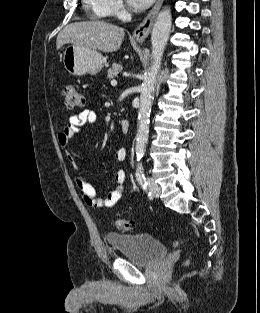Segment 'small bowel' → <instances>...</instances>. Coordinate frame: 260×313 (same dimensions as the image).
Here are the masks:
<instances>
[{"label": "small bowel", "mask_w": 260, "mask_h": 313, "mask_svg": "<svg viewBox=\"0 0 260 313\" xmlns=\"http://www.w3.org/2000/svg\"><path fill=\"white\" fill-rule=\"evenodd\" d=\"M97 123V115L91 110H83L79 113L73 114L69 117L68 124L57 135V142L62 149H66L73 136L77 133L81 126H91ZM127 151L124 148L117 149L114 158L117 162H124L126 160ZM67 160L73 170L75 171V182L81 190L85 203L96 208H108L114 206L123 196L126 191V173L122 170L115 174V184L109 194L100 198L97 196L93 186L87 182L78 172V166L74 157L67 155Z\"/></svg>", "instance_id": "small-bowel-1"}]
</instances>
